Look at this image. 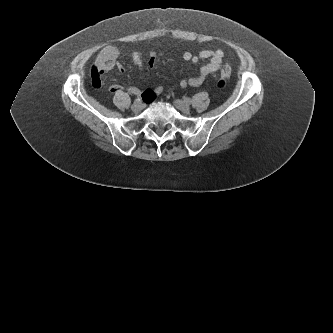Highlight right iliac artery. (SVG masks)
<instances>
[{
    "instance_id": "1",
    "label": "right iliac artery",
    "mask_w": 333,
    "mask_h": 333,
    "mask_svg": "<svg viewBox=\"0 0 333 333\" xmlns=\"http://www.w3.org/2000/svg\"><path fill=\"white\" fill-rule=\"evenodd\" d=\"M135 102H141V99L138 97Z\"/></svg>"
}]
</instances>
